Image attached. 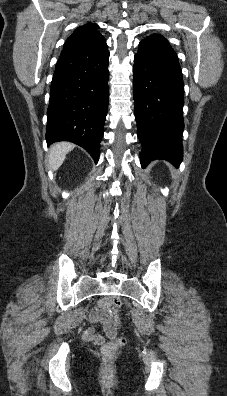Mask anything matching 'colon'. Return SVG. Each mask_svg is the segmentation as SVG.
<instances>
[{
	"label": "colon",
	"instance_id": "colon-1",
	"mask_svg": "<svg viewBox=\"0 0 227 396\" xmlns=\"http://www.w3.org/2000/svg\"><path fill=\"white\" fill-rule=\"evenodd\" d=\"M123 305V301L120 297H115L111 301V309L113 312H118ZM126 342L124 337H118L110 342H107L102 347V353L105 357H112L115 352L122 347Z\"/></svg>",
	"mask_w": 227,
	"mask_h": 396
}]
</instances>
